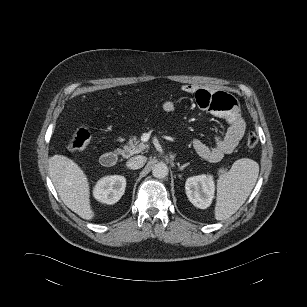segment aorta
Instances as JSON below:
<instances>
[{
	"instance_id": "1",
	"label": "aorta",
	"mask_w": 307,
	"mask_h": 307,
	"mask_svg": "<svg viewBox=\"0 0 307 307\" xmlns=\"http://www.w3.org/2000/svg\"><path fill=\"white\" fill-rule=\"evenodd\" d=\"M152 174L156 178H164L168 175V167L165 163H158L154 165L152 169Z\"/></svg>"
}]
</instances>
